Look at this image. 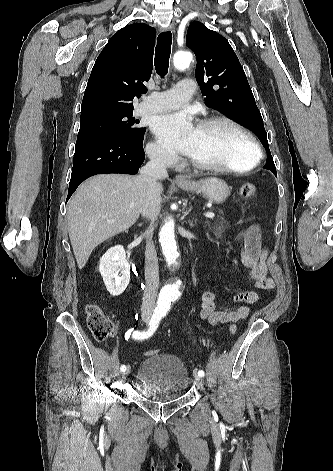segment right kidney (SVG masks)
Masks as SVG:
<instances>
[{
    "label": "right kidney",
    "mask_w": 333,
    "mask_h": 471,
    "mask_svg": "<svg viewBox=\"0 0 333 471\" xmlns=\"http://www.w3.org/2000/svg\"><path fill=\"white\" fill-rule=\"evenodd\" d=\"M99 272L112 296H119L125 291L130 281V265L123 246L117 245L107 250L100 259Z\"/></svg>",
    "instance_id": "ca27d5eb"
}]
</instances>
